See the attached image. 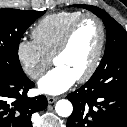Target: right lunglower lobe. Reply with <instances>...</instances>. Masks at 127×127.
I'll return each instance as SVG.
<instances>
[{
    "label": "right lung lower lobe",
    "instance_id": "98d812e1",
    "mask_svg": "<svg viewBox=\"0 0 127 127\" xmlns=\"http://www.w3.org/2000/svg\"><path fill=\"white\" fill-rule=\"evenodd\" d=\"M34 83L0 66V127H32L31 116L47 107L45 96L29 98Z\"/></svg>",
    "mask_w": 127,
    "mask_h": 127
}]
</instances>
